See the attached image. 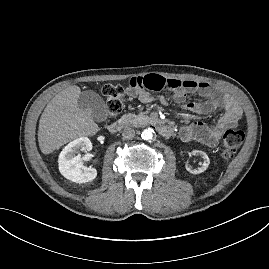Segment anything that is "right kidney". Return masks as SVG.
<instances>
[{"instance_id": "1", "label": "right kidney", "mask_w": 269, "mask_h": 269, "mask_svg": "<svg viewBox=\"0 0 269 269\" xmlns=\"http://www.w3.org/2000/svg\"><path fill=\"white\" fill-rule=\"evenodd\" d=\"M92 149V143L87 137H80L70 142L61 151L58 159L59 171L68 180L76 183L92 181L97 176L95 168L86 167L82 163L80 151L88 152Z\"/></svg>"}]
</instances>
